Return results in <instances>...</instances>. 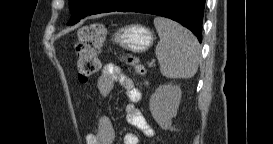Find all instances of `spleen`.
Here are the masks:
<instances>
[{
    "label": "spleen",
    "mask_w": 273,
    "mask_h": 144,
    "mask_svg": "<svg viewBox=\"0 0 273 144\" xmlns=\"http://www.w3.org/2000/svg\"><path fill=\"white\" fill-rule=\"evenodd\" d=\"M154 26L160 38L155 53L162 75L170 79L192 78L200 59L196 37L188 29L164 17H156Z\"/></svg>",
    "instance_id": "spleen-1"
}]
</instances>
